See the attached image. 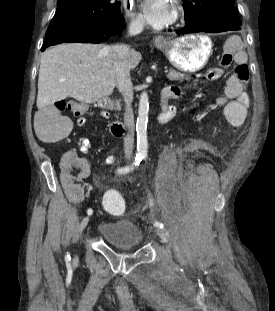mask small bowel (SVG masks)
<instances>
[{
	"mask_svg": "<svg viewBox=\"0 0 275 311\" xmlns=\"http://www.w3.org/2000/svg\"><path fill=\"white\" fill-rule=\"evenodd\" d=\"M224 55L222 60H216V67H229L230 61L234 60L236 64H245L247 61L245 52L242 48V41L239 37H230L225 41ZM208 79H213L217 73H211L210 70L205 71ZM246 82L239 79L236 73H233L227 80L224 95L217 98L216 103L224 106V116L227 124L232 128H239L245 121L247 109L249 106V97L245 91ZM163 97H167V101L162 103V113L159 116L160 123L169 122L177 113L176 107L169 105V99H179L182 96V91L178 86H170L163 90ZM84 108L79 106L75 112L80 113ZM196 110V107H193ZM99 116L108 118V113L101 111ZM86 118L81 116L77 119L78 126H84ZM219 138L223 137L222 133L218 134ZM80 149L86 151L91 143L88 138L82 137L79 139ZM59 156L60 169L57 170V175L63 180V186L67 195L71 200L80 202L84 198V186L74 180H85L89 177L90 168L83 155H79L78 150H61ZM115 157L110 156L106 159V163H113Z\"/></svg>",
	"mask_w": 275,
	"mask_h": 311,
	"instance_id": "c3829d8e",
	"label": "small bowel"
}]
</instances>
